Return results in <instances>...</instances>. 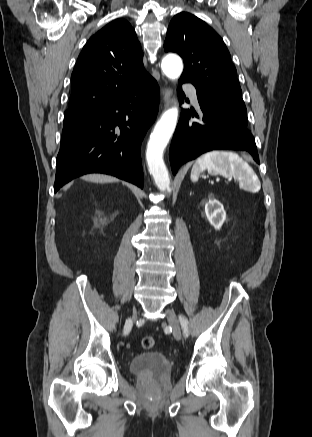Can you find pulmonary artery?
<instances>
[{
  "instance_id": "1",
  "label": "pulmonary artery",
  "mask_w": 312,
  "mask_h": 437,
  "mask_svg": "<svg viewBox=\"0 0 312 437\" xmlns=\"http://www.w3.org/2000/svg\"><path fill=\"white\" fill-rule=\"evenodd\" d=\"M187 92L191 98V101L193 102V104L195 106H198V99H197V93H196V89L194 87L191 86H186Z\"/></svg>"
}]
</instances>
